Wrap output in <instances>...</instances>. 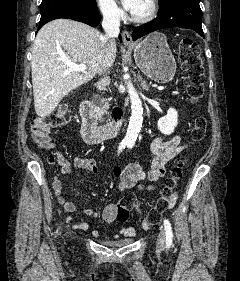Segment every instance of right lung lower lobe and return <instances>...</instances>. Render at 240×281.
Returning a JSON list of instances; mask_svg holds the SVG:
<instances>
[{
    "label": "right lung lower lobe",
    "instance_id": "98d812e1",
    "mask_svg": "<svg viewBox=\"0 0 240 281\" xmlns=\"http://www.w3.org/2000/svg\"><path fill=\"white\" fill-rule=\"evenodd\" d=\"M58 18L72 19L96 27L101 20V15L98 9L90 10L71 5L54 6L41 12L38 30L47 22Z\"/></svg>",
    "mask_w": 240,
    "mask_h": 281
}]
</instances>
